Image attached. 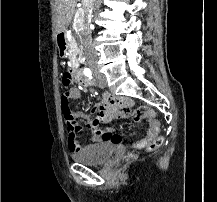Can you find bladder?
Listing matches in <instances>:
<instances>
[{"instance_id": "1", "label": "bladder", "mask_w": 217, "mask_h": 202, "mask_svg": "<svg viewBox=\"0 0 217 202\" xmlns=\"http://www.w3.org/2000/svg\"><path fill=\"white\" fill-rule=\"evenodd\" d=\"M114 148L112 142L90 145L75 153L73 158L78 159L87 165H97L102 163L106 158H111Z\"/></svg>"}]
</instances>
